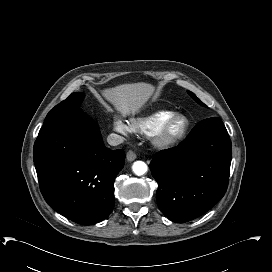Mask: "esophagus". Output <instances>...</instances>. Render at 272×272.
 <instances>
[{"instance_id":"34e87169","label":"esophagus","mask_w":272,"mask_h":272,"mask_svg":"<svg viewBox=\"0 0 272 272\" xmlns=\"http://www.w3.org/2000/svg\"><path fill=\"white\" fill-rule=\"evenodd\" d=\"M126 159L129 162L134 161L136 159V154L132 150H129L126 154Z\"/></svg>"}]
</instances>
